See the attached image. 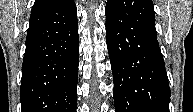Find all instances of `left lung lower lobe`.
<instances>
[{
    "label": "left lung lower lobe",
    "instance_id": "left-lung-lower-lobe-1",
    "mask_svg": "<svg viewBox=\"0 0 193 112\" xmlns=\"http://www.w3.org/2000/svg\"><path fill=\"white\" fill-rule=\"evenodd\" d=\"M105 13L116 112H169L152 0H107Z\"/></svg>",
    "mask_w": 193,
    "mask_h": 112
}]
</instances>
